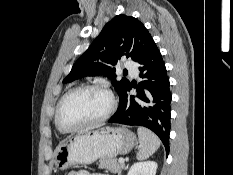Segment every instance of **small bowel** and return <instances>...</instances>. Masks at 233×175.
Segmentation results:
<instances>
[{"instance_id":"obj_1","label":"small bowel","mask_w":233,"mask_h":175,"mask_svg":"<svg viewBox=\"0 0 233 175\" xmlns=\"http://www.w3.org/2000/svg\"><path fill=\"white\" fill-rule=\"evenodd\" d=\"M68 175H108L101 173H94L87 170L71 171Z\"/></svg>"}]
</instances>
